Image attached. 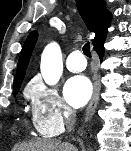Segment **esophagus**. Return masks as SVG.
Wrapping results in <instances>:
<instances>
[{
  "instance_id": "34e87169",
  "label": "esophagus",
  "mask_w": 131,
  "mask_h": 151,
  "mask_svg": "<svg viewBox=\"0 0 131 151\" xmlns=\"http://www.w3.org/2000/svg\"><path fill=\"white\" fill-rule=\"evenodd\" d=\"M99 95H100V83L99 81L96 80L94 82L93 96L86 110V114L84 118L85 122H88L93 117L99 101Z\"/></svg>"
}]
</instances>
